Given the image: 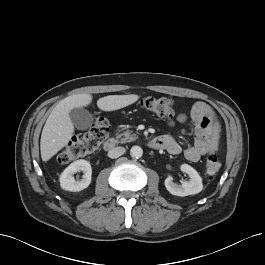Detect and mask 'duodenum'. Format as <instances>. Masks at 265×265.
<instances>
[{"label":"duodenum","mask_w":265,"mask_h":265,"mask_svg":"<svg viewBox=\"0 0 265 265\" xmlns=\"http://www.w3.org/2000/svg\"><path fill=\"white\" fill-rule=\"evenodd\" d=\"M150 146L155 149L163 148V140L161 137H155L150 141ZM116 141L113 138L108 139L104 144V149L106 151H111L115 148Z\"/></svg>","instance_id":"410a0bca"}]
</instances>
